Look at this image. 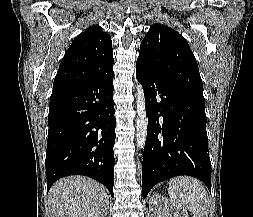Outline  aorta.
I'll list each match as a JSON object with an SVG mask.
<instances>
[{
	"instance_id": "1",
	"label": "aorta",
	"mask_w": 253,
	"mask_h": 217,
	"mask_svg": "<svg viewBox=\"0 0 253 217\" xmlns=\"http://www.w3.org/2000/svg\"><path fill=\"white\" fill-rule=\"evenodd\" d=\"M136 144L137 148L144 149L147 137L148 118L146 114V103L144 90L140 83L136 85Z\"/></svg>"
}]
</instances>
